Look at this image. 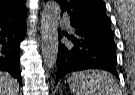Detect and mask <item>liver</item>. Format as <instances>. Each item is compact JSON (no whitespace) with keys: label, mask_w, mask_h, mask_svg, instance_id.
I'll use <instances>...</instances> for the list:
<instances>
[{"label":"liver","mask_w":135,"mask_h":95,"mask_svg":"<svg viewBox=\"0 0 135 95\" xmlns=\"http://www.w3.org/2000/svg\"><path fill=\"white\" fill-rule=\"evenodd\" d=\"M19 84L10 74L0 71V95H18Z\"/></svg>","instance_id":"1"}]
</instances>
